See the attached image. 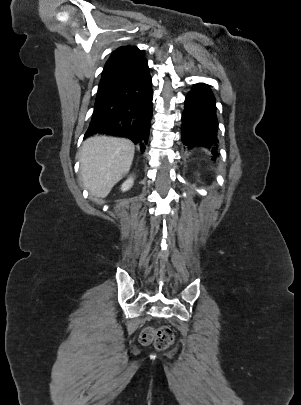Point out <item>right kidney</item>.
Returning <instances> with one entry per match:
<instances>
[{"label":"right kidney","mask_w":301,"mask_h":405,"mask_svg":"<svg viewBox=\"0 0 301 405\" xmlns=\"http://www.w3.org/2000/svg\"><path fill=\"white\" fill-rule=\"evenodd\" d=\"M134 184V178L130 177L128 178L121 186V190L123 192L128 191Z\"/></svg>","instance_id":"right-kidney-1"}]
</instances>
